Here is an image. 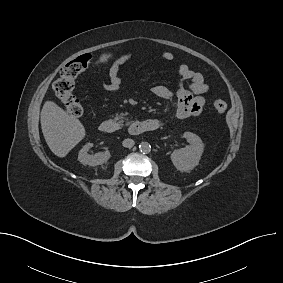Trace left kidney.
<instances>
[{
  "mask_svg": "<svg viewBox=\"0 0 283 283\" xmlns=\"http://www.w3.org/2000/svg\"><path fill=\"white\" fill-rule=\"evenodd\" d=\"M183 137L189 145L174 150L171 154V160L177 170L189 172L199 164L204 146L201 138L192 132H185Z\"/></svg>",
  "mask_w": 283,
  "mask_h": 283,
  "instance_id": "1",
  "label": "left kidney"
}]
</instances>
